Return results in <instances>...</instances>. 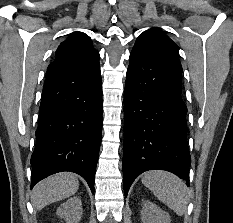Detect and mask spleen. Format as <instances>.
I'll return each mask as SVG.
<instances>
[{
    "label": "spleen",
    "mask_w": 233,
    "mask_h": 223,
    "mask_svg": "<svg viewBox=\"0 0 233 223\" xmlns=\"http://www.w3.org/2000/svg\"><path fill=\"white\" fill-rule=\"evenodd\" d=\"M141 181L177 215L185 213L189 201L188 187L177 175L169 171L153 169V171L144 173Z\"/></svg>",
    "instance_id": "spleen-1"
}]
</instances>
